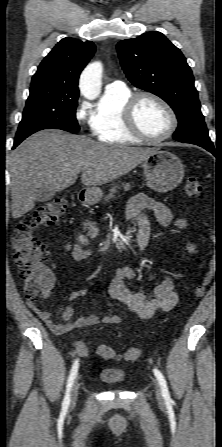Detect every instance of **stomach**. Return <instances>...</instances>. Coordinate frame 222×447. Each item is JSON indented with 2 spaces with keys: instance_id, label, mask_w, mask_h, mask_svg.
<instances>
[{
  "instance_id": "obj_1",
  "label": "stomach",
  "mask_w": 222,
  "mask_h": 447,
  "mask_svg": "<svg viewBox=\"0 0 222 447\" xmlns=\"http://www.w3.org/2000/svg\"><path fill=\"white\" fill-rule=\"evenodd\" d=\"M141 167L147 185L158 192H167L177 187L184 177V165L180 159L168 151L155 149L143 162ZM102 191L92 187L85 191V200L89 204L100 201Z\"/></svg>"
}]
</instances>
